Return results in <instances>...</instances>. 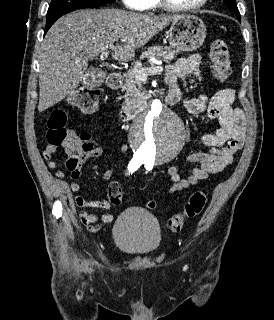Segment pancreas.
<instances>
[{
  "label": "pancreas",
  "mask_w": 274,
  "mask_h": 320,
  "mask_svg": "<svg viewBox=\"0 0 274 320\" xmlns=\"http://www.w3.org/2000/svg\"><path fill=\"white\" fill-rule=\"evenodd\" d=\"M177 54L179 52L172 50L169 46H152V48H148L147 52H143L141 60L142 58H157V60H164V62H172ZM148 64H152V62H148ZM137 68H143L141 62H136L135 68L129 74H125L126 80L122 88L125 92L122 110H129V112L138 110V98H135V96L141 90V82L132 74Z\"/></svg>",
  "instance_id": "1"
}]
</instances>
